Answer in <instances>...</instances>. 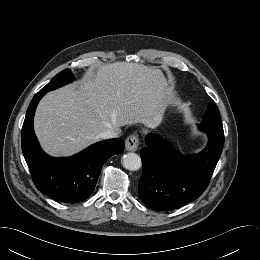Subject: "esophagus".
Segmentation results:
<instances>
[{
    "label": "esophagus",
    "mask_w": 260,
    "mask_h": 260,
    "mask_svg": "<svg viewBox=\"0 0 260 260\" xmlns=\"http://www.w3.org/2000/svg\"><path fill=\"white\" fill-rule=\"evenodd\" d=\"M139 147V138L137 135H130L125 142V149L127 151H136Z\"/></svg>",
    "instance_id": "esophagus-1"
}]
</instances>
